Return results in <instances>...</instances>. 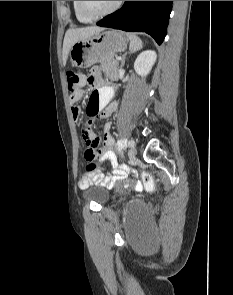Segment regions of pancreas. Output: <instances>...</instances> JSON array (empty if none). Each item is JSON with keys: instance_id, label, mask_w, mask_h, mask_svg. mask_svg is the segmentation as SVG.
Segmentation results:
<instances>
[{"instance_id": "1", "label": "pancreas", "mask_w": 233, "mask_h": 295, "mask_svg": "<svg viewBox=\"0 0 233 295\" xmlns=\"http://www.w3.org/2000/svg\"><path fill=\"white\" fill-rule=\"evenodd\" d=\"M101 69L110 79L117 80L119 78V63L117 60L113 59L111 61L101 63Z\"/></svg>"}]
</instances>
